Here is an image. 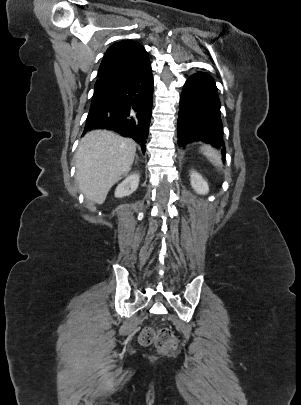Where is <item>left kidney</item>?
Listing matches in <instances>:
<instances>
[{"mask_svg":"<svg viewBox=\"0 0 301 405\" xmlns=\"http://www.w3.org/2000/svg\"><path fill=\"white\" fill-rule=\"evenodd\" d=\"M190 182L192 188L196 193L200 195H205L209 192L207 182L203 179V177L199 173L192 171L190 173Z\"/></svg>","mask_w":301,"mask_h":405,"instance_id":"1","label":"left kidney"}]
</instances>
